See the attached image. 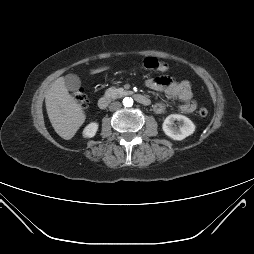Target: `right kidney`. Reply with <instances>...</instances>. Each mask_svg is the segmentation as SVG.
Returning a JSON list of instances; mask_svg holds the SVG:
<instances>
[{
    "instance_id": "ca27d5eb",
    "label": "right kidney",
    "mask_w": 254,
    "mask_h": 254,
    "mask_svg": "<svg viewBox=\"0 0 254 254\" xmlns=\"http://www.w3.org/2000/svg\"><path fill=\"white\" fill-rule=\"evenodd\" d=\"M98 123L96 122H92L90 124H88L84 130H83V135L86 138H92L95 136L97 130H98Z\"/></svg>"
}]
</instances>
